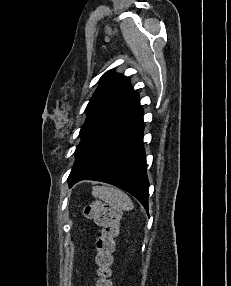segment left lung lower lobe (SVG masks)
Listing matches in <instances>:
<instances>
[{
  "label": "left lung lower lobe",
  "mask_w": 231,
  "mask_h": 286,
  "mask_svg": "<svg viewBox=\"0 0 231 286\" xmlns=\"http://www.w3.org/2000/svg\"><path fill=\"white\" fill-rule=\"evenodd\" d=\"M135 92L91 128L75 151L69 185L84 179L117 186L148 210L149 182L143 142V109Z\"/></svg>",
  "instance_id": "1"
}]
</instances>
